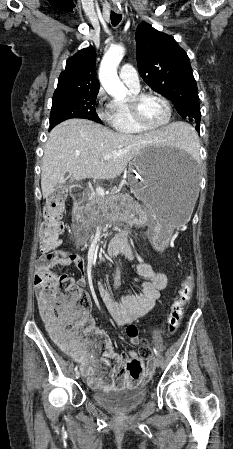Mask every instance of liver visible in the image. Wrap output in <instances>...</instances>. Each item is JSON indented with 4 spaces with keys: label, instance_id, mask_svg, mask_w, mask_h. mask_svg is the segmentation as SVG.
I'll list each match as a JSON object with an SVG mask.
<instances>
[{
    "label": "liver",
    "instance_id": "obj_1",
    "mask_svg": "<svg viewBox=\"0 0 233 449\" xmlns=\"http://www.w3.org/2000/svg\"><path fill=\"white\" fill-rule=\"evenodd\" d=\"M182 124L172 123L161 129L130 135L114 132L87 119H70L54 127L48 135L42 159L41 188L50 196L69 172L77 181L85 178L114 179L142 149L164 147L177 142ZM114 154L111 159L103 156Z\"/></svg>",
    "mask_w": 233,
    "mask_h": 449
}]
</instances>
